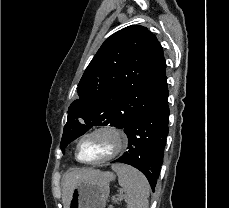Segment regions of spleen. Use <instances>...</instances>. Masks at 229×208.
Listing matches in <instances>:
<instances>
[{
	"label": "spleen",
	"instance_id": "1",
	"mask_svg": "<svg viewBox=\"0 0 229 208\" xmlns=\"http://www.w3.org/2000/svg\"><path fill=\"white\" fill-rule=\"evenodd\" d=\"M118 182L124 192L127 208H148L149 184L136 168L124 164H112Z\"/></svg>",
	"mask_w": 229,
	"mask_h": 208
}]
</instances>
